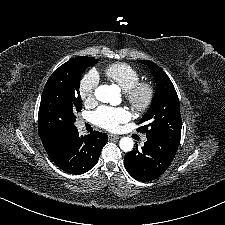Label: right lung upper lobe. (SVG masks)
<instances>
[{
  "label": "right lung upper lobe",
  "mask_w": 225,
  "mask_h": 225,
  "mask_svg": "<svg viewBox=\"0 0 225 225\" xmlns=\"http://www.w3.org/2000/svg\"><path fill=\"white\" fill-rule=\"evenodd\" d=\"M78 59L79 57L73 58L67 61L66 63H64L63 65H61L59 68L62 69L69 66H73ZM39 136L49 156L55 155L56 152L63 146L64 140L66 139V136H63V137H45L41 135Z\"/></svg>",
  "instance_id": "right-lung-upper-lobe-1"
}]
</instances>
